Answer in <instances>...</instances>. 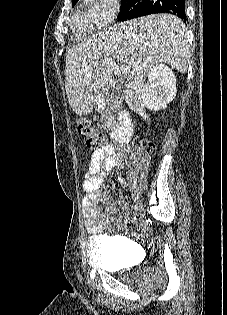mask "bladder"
<instances>
[{
	"mask_svg": "<svg viewBox=\"0 0 227 315\" xmlns=\"http://www.w3.org/2000/svg\"><path fill=\"white\" fill-rule=\"evenodd\" d=\"M132 242L115 236H93L88 243L87 261L95 268L116 270L129 267L128 249Z\"/></svg>",
	"mask_w": 227,
	"mask_h": 315,
	"instance_id": "1",
	"label": "bladder"
}]
</instances>
